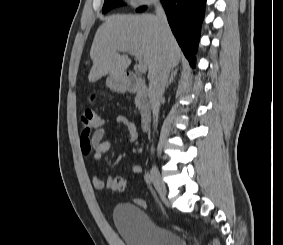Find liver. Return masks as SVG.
Returning <instances> with one entry per match:
<instances>
[{"instance_id": "obj_1", "label": "liver", "mask_w": 283, "mask_h": 245, "mask_svg": "<svg viewBox=\"0 0 283 245\" xmlns=\"http://www.w3.org/2000/svg\"><path fill=\"white\" fill-rule=\"evenodd\" d=\"M118 52L138 53L148 67L149 79L164 59L174 68L181 58L174 36L171 32L163 35L156 16L112 15L97 29L90 49L93 62L90 82L105 75L122 77L125 74L131 60Z\"/></svg>"}]
</instances>
